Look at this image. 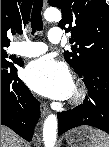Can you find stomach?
I'll return each mask as SVG.
<instances>
[{
    "instance_id": "stomach-1",
    "label": "stomach",
    "mask_w": 109,
    "mask_h": 147,
    "mask_svg": "<svg viewBox=\"0 0 109 147\" xmlns=\"http://www.w3.org/2000/svg\"><path fill=\"white\" fill-rule=\"evenodd\" d=\"M98 130L89 126H80L65 135L69 147H95Z\"/></svg>"
}]
</instances>
